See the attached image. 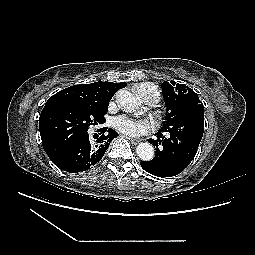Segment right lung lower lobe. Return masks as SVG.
<instances>
[{
	"label": "right lung lower lobe",
	"mask_w": 255,
	"mask_h": 255,
	"mask_svg": "<svg viewBox=\"0 0 255 255\" xmlns=\"http://www.w3.org/2000/svg\"><path fill=\"white\" fill-rule=\"evenodd\" d=\"M98 132L93 136L94 139L90 138L87 132L63 145L50 142L41 135L42 145L57 167L70 173H77L99 162L111 140L118 136L114 130L106 127L99 129Z\"/></svg>",
	"instance_id": "98d812e1"
}]
</instances>
